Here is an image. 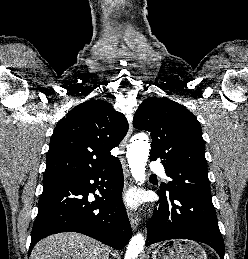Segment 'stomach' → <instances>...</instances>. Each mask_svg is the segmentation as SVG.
Here are the masks:
<instances>
[{
  "label": "stomach",
  "mask_w": 248,
  "mask_h": 259,
  "mask_svg": "<svg viewBox=\"0 0 248 259\" xmlns=\"http://www.w3.org/2000/svg\"><path fill=\"white\" fill-rule=\"evenodd\" d=\"M152 259H207V254L194 241L175 239L159 245L153 251Z\"/></svg>",
  "instance_id": "obj_1"
}]
</instances>
